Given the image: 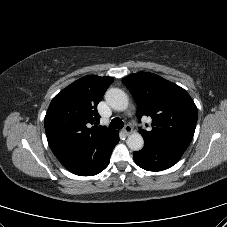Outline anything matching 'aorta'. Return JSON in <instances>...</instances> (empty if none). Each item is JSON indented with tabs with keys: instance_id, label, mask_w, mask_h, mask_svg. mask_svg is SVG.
I'll use <instances>...</instances> for the list:
<instances>
[{
	"instance_id": "762f6f07",
	"label": "aorta",
	"mask_w": 227,
	"mask_h": 227,
	"mask_svg": "<svg viewBox=\"0 0 227 227\" xmlns=\"http://www.w3.org/2000/svg\"><path fill=\"white\" fill-rule=\"evenodd\" d=\"M106 103L114 110L124 111L128 108V97L124 91L111 88L105 94ZM127 146L133 151H139L144 146V140L140 133L134 132L127 138Z\"/></svg>"
}]
</instances>
